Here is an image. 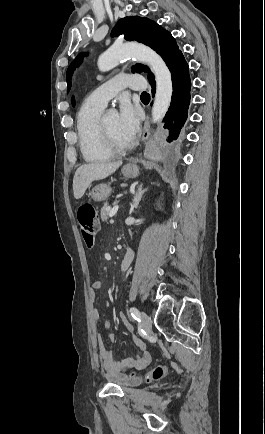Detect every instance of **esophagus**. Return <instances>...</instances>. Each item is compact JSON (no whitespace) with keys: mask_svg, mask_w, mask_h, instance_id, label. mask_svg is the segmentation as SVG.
<instances>
[{"mask_svg":"<svg viewBox=\"0 0 265 434\" xmlns=\"http://www.w3.org/2000/svg\"><path fill=\"white\" fill-rule=\"evenodd\" d=\"M150 121L149 118L147 116L145 123H144V130H143V135H142V141L146 142L150 136Z\"/></svg>","mask_w":265,"mask_h":434,"instance_id":"1","label":"esophagus"}]
</instances>
